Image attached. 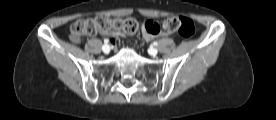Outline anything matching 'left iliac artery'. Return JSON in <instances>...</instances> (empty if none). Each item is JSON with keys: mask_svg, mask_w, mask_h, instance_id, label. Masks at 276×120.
I'll use <instances>...</instances> for the list:
<instances>
[{"mask_svg": "<svg viewBox=\"0 0 276 120\" xmlns=\"http://www.w3.org/2000/svg\"><path fill=\"white\" fill-rule=\"evenodd\" d=\"M153 45H154V46H157V45H158V43L155 41V42H153Z\"/></svg>", "mask_w": 276, "mask_h": 120, "instance_id": "obj_1", "label": "left iliac artery"}]
</instances>
